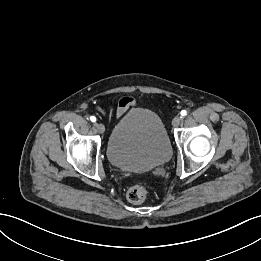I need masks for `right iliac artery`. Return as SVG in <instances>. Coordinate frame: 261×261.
<instances>
[{"instance_id":"1","label":"right iliac artery","mask_w":261,"mask_h":261,"mask_svg":"<svg viewBox=\"0 0 261 261\" xmlns=\"http://www.w3.org/2000/svg\"><path fill=\"white\" fill-rule=\"evenodd\" d=\"M90 120H91L92 122H96V117H95V116H91V117H90Z\"/></svg>"}]
</instances>
